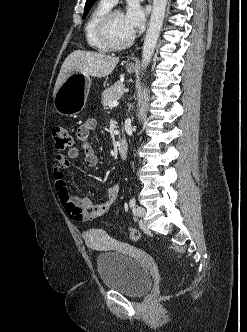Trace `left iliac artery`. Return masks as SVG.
<instances>
[{
    "label": "left iliac artery",
    "mask_w": 247,
    "mask_h": 332,
    "mask_svg": "<svg viewBox=\"0 0 247 332\" xmlns=\"http://www.w3.org/2000/svg\"><path fill=\"white\" fill-rule=\"evenodd\" d=\"M129 206L132 209L135 208V206H136V200H135V198H131V200L129 202Z\"/></svg>",
    "instance_id": "44dca946"
}]
</instances>
